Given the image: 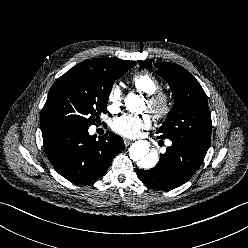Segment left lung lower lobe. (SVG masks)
Returning <instances> with one entry per match:
<instances>
[{"mask_svg":"<svg viewBox=\"0 0 248 248\" xmlns=\"http://www.w3.org/2000/svg\"><path fill=\"white\" fill-rule=\"evenodd\" d=\"M159 138V137H158ZM206 153L179 142L160 154L158 164L150 170H137L139 179L150 187L169 190L187 182L202 164Z\"/></svg>","mask_w":248,"mask_h":248,"instance_id":"1","label":"left lung lower lobe"}]
</instances>
